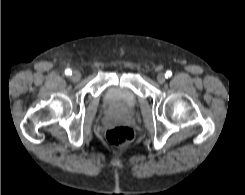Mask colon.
Wrapping results in <instances>:
<instances>
[{
	"label": "colon",
	"mask_w": 245,
	"mask_h": 195,
	"mask_svg": "<svg viewBox=\"0 0 245 195\" xmlns=\"http://www.w3.org/2000/svg\"><path fill=\"white\" fill-rule=\"evenodd\" d=\"M106 138L114 146L126 147L132 142L134 132L128 127L118 126L109 129L106 132Z\"/></svg>",
	"instance_id": "colon-1"
}]
</instances>
